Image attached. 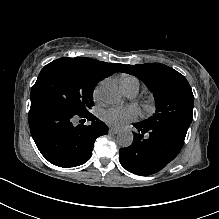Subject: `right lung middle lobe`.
Segmentation results:
<instances>
[{"mask_svg":"<svg viewBox=\"0 0 219 219\" xmlns=\"http://www.w3.org/2000/svg\"><path fill=\"white\" fill-rule=\"evenodd\" d=\"M106 77L79 62L60 58L41 70L31 90V102H51L72 114L86 115L94 104L95 86Z\"/></svg>","mask_w":219,"mask_h":219,"instance_id":"obj_1","label":"right lung middle lobe"}]
</instances>
